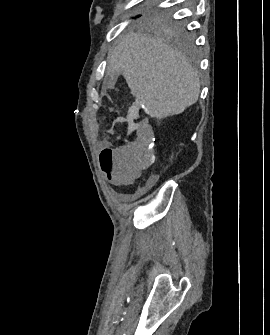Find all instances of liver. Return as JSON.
<instances>
[{
    "label": "liver",
    "instance_id": "obj_1",
    "mask_svg": "<svg viewBox=\"0 0 270 335\" xmlns=\"http://www.w3.org/2000/svg\"><path fill=\"white\" fill-rule=\"evenodd\" d=\"M108 60V76L121 72L131 94L151 118L182 114L199 98L198 72L160 38L125 34Z\"/></svg>",
    "mask_w": 270,
    "mask_h": 335
}]
</instances>
